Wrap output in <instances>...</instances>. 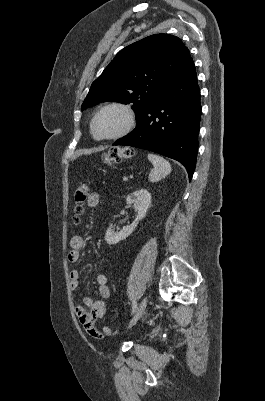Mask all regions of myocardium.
<instances>
[{"mask_svg":"<svg viewBox=\"0 0 265 401\" xmlns=\"http://www.w3.org/2000/svg\"><path fill=\"white\" fill-rule=\"evenodd\" d=\"M112 109L119 110L124 115V121H123L121 128L119 129L118 132H116L115 134H113L111 136H107V137L97 136L94 131V126H95L96 120L98 119V117L101 114H103L104 112H106L108 110H112ZM134 119H135L134 112L129 105L124 104V103H119V102L108 103V104L104 105L103 107H101L92 117L91 122H90V134L97 141H110V140L117 139V138L121 137L123 134H125L132 127V125L134 123Z\"/></svg>","mask_w":265,"mask_h":401,"instance_id":"myocardium-1","label":"myocardium"}]
</instances>
